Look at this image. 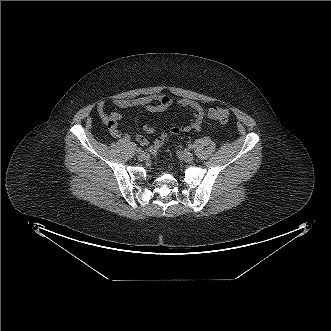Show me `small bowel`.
Wrapping results in <instances>:
<instances>
[{
    "instance_id": "1",
    "label": "small bowel",
    "mask_w": 331,
    "mask_h": 331,
    "mask_svg": "<svg viewBox=\"0 0 331 331\" xmlns=\"http://www.w3.org/2000/svg\"><path fill=\"white\" fill-rule=\"evenodd\" d=\"M175 103L180 107L190 109L194 114L193 119L188 124L181 126H173L168 131H161L159 135L151 142L148 141L145 137L138 135L136 137V141H138L142 145L147 146L150 151H155L159 149L163 145L169 134L177 135L189 131L199 132L202 128V121L205 116L202 104L198 101L189 99H179L175 101L173 98L163 94H152L136 98H119L112 100V104L120 109L140 107L152 113L163 112ZM97 113L101 121L108 127L112 137H122L124 140L130 139L129 134H122L118 128V125L122 120V115L120 113H108L104 102L98 103ZM143 131L150 135L156 133V129L149 124L143 125Z\"/></svg>"
}]
</instances>
